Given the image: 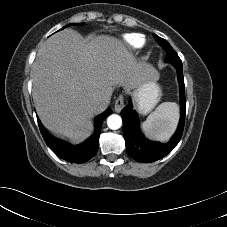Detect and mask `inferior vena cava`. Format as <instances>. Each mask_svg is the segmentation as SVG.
I'll use <instances>...</instances> for the list:
<instances>
[{
    "label": "inferior vena cava",
    "mask_w": 227,
    "mask_h": 227,
    "mask_svg": "<svg viewBox=\"0 0 227 227\" xmlns=\"http://www.w3.org/2000/svg\"><path fill=\"white\" fill-rule=\"evenodd\" d=\"M103 101V98L100 95H95L93 97V102L96 105H99Z\"/></svg>",
    "instance_id": "1"
}]
</instances>
